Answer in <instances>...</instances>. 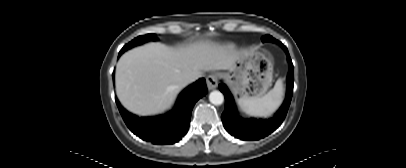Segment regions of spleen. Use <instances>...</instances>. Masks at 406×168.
Listing matches in <instances>:
<instances>
[{
	"instance_id": "3e777b00",
	"label": "spleen",
	"mask_w": 406,
	"mask_h": 168,
	"mask_svg": "<svg viewBox=\"0 0 406 168\" xmlns=\"http://www.w3.org/2000/svg\"><path fill=\"white\" fill-rule=\"evenodd\" d=\"M283 100V82L278 79L275 86L260 98H243L238 101L240 108L248 115L268 117L280 106Z\"/></svg>"
}]
</instances>
